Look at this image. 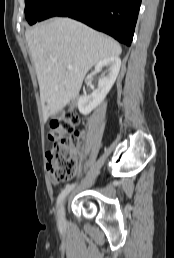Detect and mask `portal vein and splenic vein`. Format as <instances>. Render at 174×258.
Instances as JSON below:
<instances>
[{"label":"portal vein and splenic vein","mask_w":174,"mask_h":258,"mask_svg":"<svg viewBox=\"0 0 174 258\" xmlns=\"http://www.w3.org/2000/svg\"><path fill=\"white\" fill-rule=\"evenodd\" d=\"M54 60H56V58H55ZM67 69H68V70H72V69H73V66H72V65H67Z\"/></svg>","instance_id":"1"}]
</instances>
